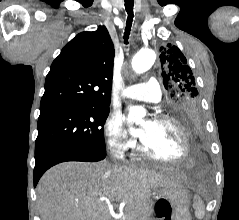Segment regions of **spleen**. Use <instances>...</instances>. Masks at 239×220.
<instances>
[{
    "label": "spleen",
    "instance_id": "spleen-1",
    "mask_svg": "<svg viewBox=\"0 0 239 220\" xmlns=\"http://www.w3.org/2000/svg\"><path fill=\"white\" fill-rule=\"evenodd\" d=\"M193 208L195 209V216L198 219H203L205 215V208L202 200L200 197L195 196L194 197V203H193Z\"/></svg>",
    "mask_w": 239,
    "mask_h": 220
}]
</instances>
